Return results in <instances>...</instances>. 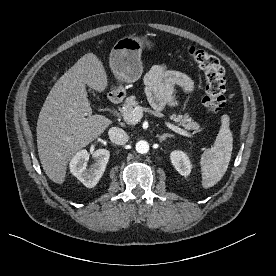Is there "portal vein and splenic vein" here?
I'll return each instance as SVG.
<instances>
[{"label":"portal vein and splenic vein","mask_w":276,"mask_h":276,"mask_svg":"<svg viewBox=\"0 0 276 276\" xmlns=\"http://www.w3.org/2000/svg\"><path fill=\"white\" fill-rule=\"evenodd\" d=\"M142 116H143V109H142V107L137 106V107H135V108L133 109V111H132L131 114L129 115V118H128V119H129L130 121L137 122V121H139V120L142 118ZM165 125H166L169 129L173 130L174 132H176V133H178V134H180V135H182V136H186V137H189V138L192 137V134H191V133L185 131V130L182 129V128H179L178 126H176V125H174V124H172V123H170V122H168V121H165Z\"/></svg>","instance_id":"18ae733b"}]
</instances>
